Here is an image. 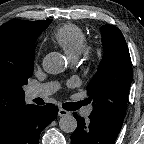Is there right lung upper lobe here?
Masks as SVG:
<instances>
[{"mask_svg":"<svg viewBox=\"0 0 144 144\" xmlns=\"http://www.w3.org/2000/svg\"><path fill=\"white\" fill-rule=\"evenodd\" d=\"M50 23V19L11 20L0 27V135L26 106L15 70L24 60L34 57L35 42Z\"/></svg>","mask_w":144,"mask_h":144,"instance_id":"right-lung-upper-lobe-1","label":"right lung upper lobe"}]
</instances>
